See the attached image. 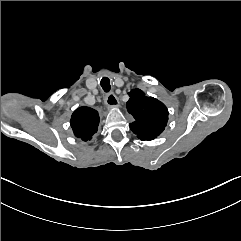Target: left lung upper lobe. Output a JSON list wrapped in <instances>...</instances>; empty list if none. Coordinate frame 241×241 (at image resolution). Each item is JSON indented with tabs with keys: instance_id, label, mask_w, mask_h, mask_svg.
<instances>
[{
	"instance_id": "1",
	"label": "left lung upper lobe",
	"mask_w": 241,
	"mask_h": 241,
	"mask_svg": "<svg viewBox=\"0 0 241 241\" xmlns=\"http://www.w3.org/2000/svg\"><path fill=\"white\" fill-rule=\"evenodd\" d=\"M127 110L135 119L130 129L143 141H151L159 136L168 120L166 106L153 97H147L140 89H133L129 93Z\"/></svg>"
}]
</instances>
